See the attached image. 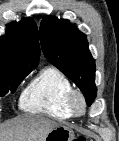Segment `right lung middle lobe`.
I'll use <instances>...</instances> for the list:
<instances>
[{
    "instance_id": "1",
    "label": "right lung middle lobe",
    "mask_w": 119,
    "mask_h": 141,
    "mask_svg": "<svg viewBox=\"0 0 119 141\" xmlns=\"http://www.w3.org/2000/svg\"><path fill=\"white\" fill-rule=\"evenodd\" d=\"M29 73H0V96L8 92L14 93L17 86Z\"/></svg>"
}]
</instances>
